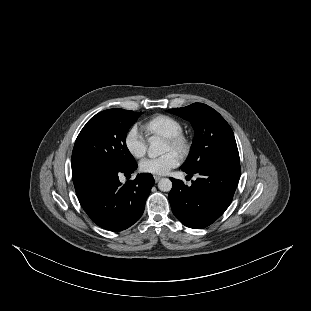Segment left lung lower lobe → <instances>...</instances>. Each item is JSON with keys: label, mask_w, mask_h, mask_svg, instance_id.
Here are the masks:
<instances>
[{"label": "left lung lower lobe", "mask_w": 311, "mask_h": 311, "mask_svg": "<svg viewBox=\"0 0 311 311\" xmlns=\"http://www.w3.org/2000/svg\"><path fill=\"white\" fill-rule=\"evenodd\" d=\"M200 175L191 186L170 178L173 187L169 201L174 215L187 227L205 228L216 221L230 205L240 178L239 162L216 163L195 172Z\"/></svg>", "instance_id": "1"}]
</instances>
